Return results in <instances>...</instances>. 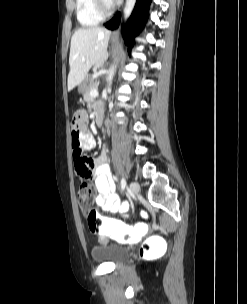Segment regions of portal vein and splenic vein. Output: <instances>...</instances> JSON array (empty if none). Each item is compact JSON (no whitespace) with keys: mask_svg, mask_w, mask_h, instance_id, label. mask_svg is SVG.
<instances>
[{"mask_svg":"<svg viewBox=\"0 0 247 304\" xmlns=\"http://www.w3.org/2000/svg\"><path fill=\"white\" fill-rule=\"evenodd\" d=\"M98 95H99V93H98L97 90H91V91H90V96H91V97H96V96H98Z\"/></svg>","mask_w":247,"mask_h":304,"instance_id":"obj_1","label":"portal vein and splenic vein"}]
</instances>
